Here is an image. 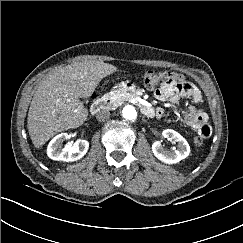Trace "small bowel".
<instances>
[{
    "label": "small bowel",
    "instance_id": "small-bowel-1",
    "mask_svg": "<svg viewBox=\"0 0 243 243\" xmlns=\"http://www.w3.org/2000/svg\"><path fill=\"white\" fill-rule=\"evenodd\" d=\"M153 95L159 101H169L173 104L178 103L183 98H189L192 105L183 111L184 123L204 138L211 135L212 129L208 124V116L204 110L199 108L202 102L201 93L194 84L186 80L183 74L178 72L166 73L165 81L154 90ZM155 115L161 118L164 115V110L158 108Z\"/></svg>",
    "mask_w": 243,
    "mask_h": 243
}]
</instances>
